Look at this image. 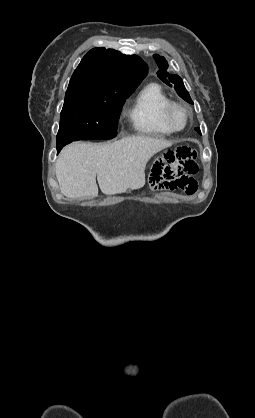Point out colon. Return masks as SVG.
Here are the masks:
<instances>
[{
  "label": "colon",
  "instance_id": "colon-1",
  "mask_svg": "<svg viewBox=\"0 0 255 418\" xmlns=\"http://www.w3.org/2000/svg\"><path fill=\"white\" fill-rule=\"evenodd\" d=\"M197 152L189 147L168 150L153 166L150 175L152 190L181 189L188 195L197 190L193 175L197 172Z\"/></svg>",
  "mask_w": 255,
  "mask_h": 418
}]
</instances>
